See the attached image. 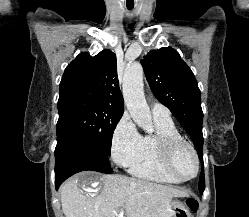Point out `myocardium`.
Wrapping results in <instances>:
<instances>
[{
    "label": "myocardium",
    "mask_w": 249,
    "mask_h": 217,
    "mask_svg": "<svg viewBox=\"0 0 249 217\" xmlns=\"http://www.w3.org/2000/svg\"><path fill=\"white\" fill-rule=\"evenodd\" d=\"M158 144L164 167L170 175L182 182L189 181L197 176L200 168L199 157L196 149L190 142L182 137L162 136L159 138ZM181 148L188 149L191 152L195 162V170L193 174L188 177L180 175L174 166L175 156Z\"/></svg>",
    "instance_id": "1"
}]
</instances>
